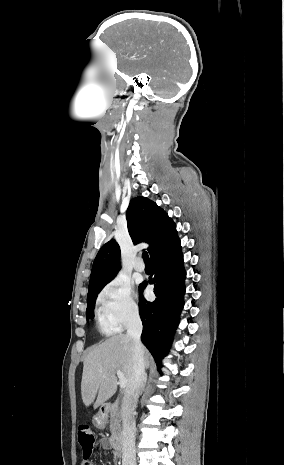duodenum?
Wrapping results in <instances>:
<instances>
[{"label": "duodenum", "instance_id": "obj_1", "mask_svg": "<svg viewBox=\"0 0 284 465\" xmlns=\"http://www.w3.org/2000/svg\"><path fill=\"white\" fill-rule=\"evenodd\" d=\"M110 410V406L106 405L101 407L98 411V418L101 425L104 423L105 416ZM112 444L115 449L121 450L124 446V435L120 431H116L112 437Z\"/></svg>", "mask_w": 284, "mask_h": 465}]
</instances>
